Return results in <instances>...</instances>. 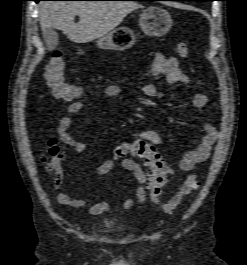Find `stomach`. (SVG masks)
<instances>
[{
    "instance_id": "obj_1",
    "label": "stomach",
    "mask_w": 247,
    "mask_h": 265,
    "mask_svg": "<svg viewBox=\"0 0 247 265\" xmlns=\"http://www.w3.org/2000/svg\"><path fill=\"white\" fill-rule=\"evenodd\" d=\"M173 24L171 15L160 6H149L140 14L139 26L145 35L161 37ZM136 42L134 32L127 27H120L108 33L97 41V46L103 50H126Z\"/></svg>"
}]
</instances>
